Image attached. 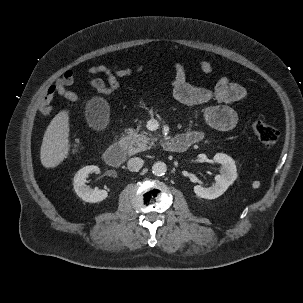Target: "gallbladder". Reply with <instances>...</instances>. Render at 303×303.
Segmentation results:
<instances>
[{"mask_svg":"<svg viewBox=\"0 0 303 303\" xmlns=\"http://www.w3.org/2000/svg\"><path fill=\"white\" fill-rule=\"evenodd\" d=\"M108 114L109 106L102 98L93 97L86 105L87 122L95 129H99L106 124Z\"/></svg>","mask_w":303,"mask_h":303,"instance_id":"bac80fb5","label":"gallbladder"}]
</instances>
